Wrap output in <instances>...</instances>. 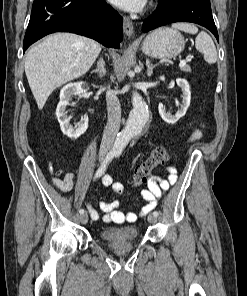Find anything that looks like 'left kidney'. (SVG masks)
Instances as JSON below:
<instances>
[{
    "label": "left kidney",
    "mask_w": 247,
    "mask_h": 296,
    "mask_svg": "<svg viewBox=\"0 0 247 296\" xmlns=\"http://www.w3.org/2000/svg\"><path fill=\"white\" fill-rule=\"evenodd\" d=\"M176 82H177V85L182 90L183 101L180 109L175 113V115H172L170 112H166L163 104H159L158 106V110L161 118L169 124H175L181 117H183L186 114V111L190 105V100H191L189 83L185 79H181V78L177 79Z\"/></svg>",
    "instance_id": "1"
}]
</instances>
